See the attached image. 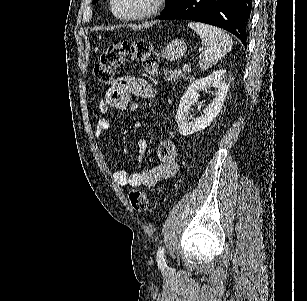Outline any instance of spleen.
<instances>
[{"label": "spleen", "instance_id": "3e777b00", "mask_svg": "<svg viewBox=\"0 0 307 301\" xmlns=\"http://www.w3.org/2000/svg\"><path fill=\"white\" fill-rule=\"evenodd\" d=\"M188 26L199 34L201 42L205 46V50L201 52L199 58L201 70H208L222 56L232 50L233 40L222 28H217L212 24H204V22H188Z\"/></svg>", "mask_w": 307, "mask_h": 301}]
</instances>
